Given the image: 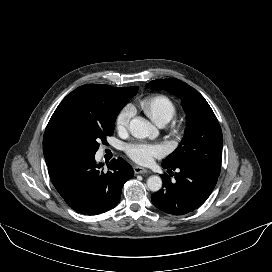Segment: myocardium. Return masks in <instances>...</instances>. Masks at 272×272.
Returning a JSON list of instances; mask_svg holds the SVG:
<instances>
[{
	"instance_id": "myocardium-1",
	"label": "myocardium",
	"mask_w": 272,
	"mask_h": 272,
	"mask_svg": "<svg viewBox=\"0 0 272 272\" xmlns=\"http://www.w3.org/2000/svg\"><path fill=\"white\" fill-rule=\"evenodd\" d=\"M181 133H182V129H181V126L178 125V124H172L170 127H169V134L171 137L177 139L181 136Z\"/></svg>"
}]
</instances>
